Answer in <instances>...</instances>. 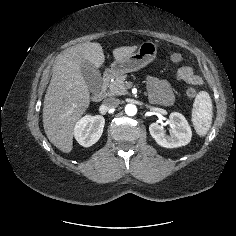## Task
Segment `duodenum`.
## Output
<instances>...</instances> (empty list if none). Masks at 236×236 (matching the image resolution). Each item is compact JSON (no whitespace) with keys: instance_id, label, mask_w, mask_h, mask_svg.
Listing matches in <instances>:
<instances>
[{"instance_id":"410a0bca","label":"duodenum","mask_w":236,"mask_h":236,"mask_svg":"<svg viewBox=\"0 0 236 236\" xmlns=\"http://www.w3.org/2000/svg\"><path fill=\"white\" fill-rule=\"evenodd\" d=\"M112 76L113 72L111 70H108L104 73L101 87L98 90L94 91L91 95V98L94 102H99L104 98L106 94V86Z\"/></svg>"}]
</instances>
